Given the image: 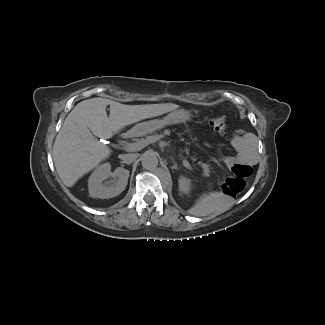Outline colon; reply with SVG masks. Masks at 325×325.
I'll use <instances>...</instances> for the list:
<instances>
[{
  "instance_id": "colon-1",
  "label": "colon",
  "mask_w": 325,
  "mask_h": 325,
  "mask_svg": "<svg viewBox=\"0 0 325 325\" xmlns=\"http://www.w3.org/2000/svg\"><path fill=\"white\" fill-rule=\"evenodd\" d=\"M212 128L221 136L226 134V123L223 118H215L211 121ZM252 169L248 165L237 164L232 168V173L222 184L225 194L235 196L240 194L246 186V179L251 175Z\"/></svg>"
}]
</instances>
